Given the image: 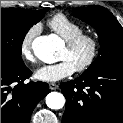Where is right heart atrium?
Segmentation results:
<instances>
[{"mask_svg": "<svg viewBox=\"0 0 123 123\" xmlns=\"http://www.w3.org/2000/svg\"><path fill=\"white\" fill-rule=\"evenodd\" d=\"M39 26H31L23 35L20 43V54L22 58L28 62H34L35 58L32 52V42L36 35L39 33Z\"/></svg>", "mask_w": 123, "mask_h": 123, "instance_id": "obj_1", "label": "right heart atrium"}]
</instances>
